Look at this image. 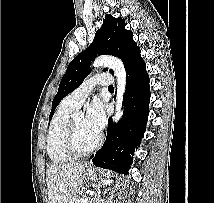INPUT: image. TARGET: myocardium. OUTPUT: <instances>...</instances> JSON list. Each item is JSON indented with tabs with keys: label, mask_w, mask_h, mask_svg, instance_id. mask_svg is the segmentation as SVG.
Listing matches in <instances>:
<instances>
[{
	"label": "myocardium",
	"mask_w": 214,
	"mask_h": 203,
	"mask_svg": "<svg viewBox=\"0 0 214 203\" xmlns=\"http://www.w3.org/2000/svg\"><path fill=\"white\" fill-rule=\"evenodd\" d=\"M102 135L98 134L95 143L88 149H81L77 145L75 118H71L66 130L64 147L72 157H83L93 153L101 144Z\"/></svg>",
	"instance_id": "1"
}]
</instances>
